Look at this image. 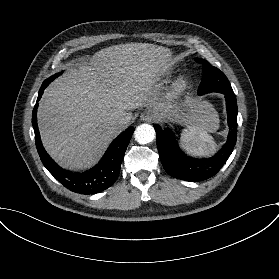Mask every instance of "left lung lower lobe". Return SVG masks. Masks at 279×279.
Instances as JSON below:
<instances>
[{"label":"left lung lower lobe","mask_w":279,"mask_h":279,"mask_svg":"<svg viewBox=\"0 0 279 279\" xmlns=\"http://www.w3.org/2000/svg\"><path fill=\"white\" fill-rule=\"evenodd\" d=\"M227 105L230 132L226 143L212 157L192 158L179 148L170 129L154 125L157 134V148L165 171L174 178L186 181H202L216 175L232 154L237 140V102L235 94H224Z\"/></svg>","instance_id":"left-lung-lower-lobe-1"}]
</instances>
